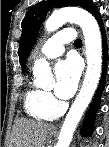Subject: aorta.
Here are the masks:
<instances>
[{
    "instance_id": "obj_1",
    "label": "aorta",
    "mask_w": 109,
    "mask_h": 147,
    "mask_svg": "<svg viewBox=\"0 0 109 147\" xmlns=\"http://www.w3.org/2000/svg\"><path fill=\"white\" fill-rule=\"evenodd\" d=\"M73 22L82 28L87 58L85 78L62 125L57 147H69L73 133L97 88L102 69L101 33L95 18L88 11L77 7H65L55 11L46 21L45 29L52 32L66 22ZM37 85L44 87L53 82V74L46 59H38L33 67Z\"/></svg>"
}]
</instances>
